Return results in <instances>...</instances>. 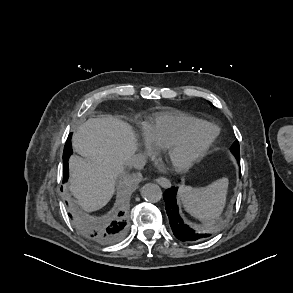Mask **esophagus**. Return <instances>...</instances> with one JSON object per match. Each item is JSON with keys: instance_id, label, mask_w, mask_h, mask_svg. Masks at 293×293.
I'll return each mask as SVG.
<instances>
[{"instance_id": "obj_1", "label": "esophagus", "mask_w": 293, "mask_h": 293, "mask_svg": "<svg viewBox=\"0 0 293 293\" xmlns=\"http://www.w3.org/2000/svg\"><path fill=\"white\" fill-rule=\"evenodd\" d=\"M156 181L162 187H168L170 185V181L163 177L157 178Z\"/></svg>"}]
</instances>
